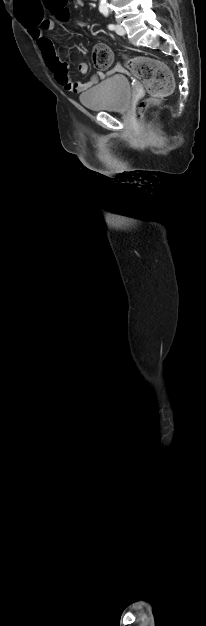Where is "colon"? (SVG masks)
<instances>
[{"label": "colon", "mask_w": 206, "mask_h": 626, "mask_svg": "<svg viewBox=\"0 0 206 626\" xmlns=\"http://www.w3.org/2000/svg\"><path fill=\"white\" fill-rule=\"evenodd\" d=\"M44 3L58 17H67V0H44ZM92 61L98 69L108 68L112 63L111 50L104 44L96 45L93 48ZM127 65L149 93V98L141 102L139 108V116L143 118L150 107L157 105L170 94L173 87L172 75L164 63L149 57L128 58Z\"/></svg>", "instance_id": "1"}]
</instances>
